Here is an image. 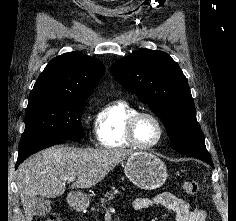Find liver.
Masks as SVG:
<instances>
[{
	"instance_id": "liver-1",
	"label": "liver",
	"mask_w": 236,
	"mask_h": 221,
	"mask_svg": "<svg viewBox=\"0 0 236 221\" xmlns=\"http://www.w3.org/2000/svg\"><path fill=\"white\" fill-rule=\"evenodd\" d=\"M131 150L117 148L45 149L22 163L17 172V187L26 221L35 215L37 196L55 198L65 192V181L74 177L72 189L90 188L100 182Z\"/></svg>"
}]
</instances>
